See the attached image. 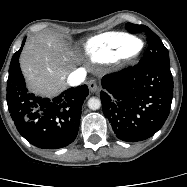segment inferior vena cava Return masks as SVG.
<instances>
[{
  "instance_id": "1",
  "label": "inferior vena cava",
  "mask_w": 187,
  "mask_h": 187,
  "mask_svg": "<svg viewBox=\"0 0 187 187\" xmlns=\"http://www.w3.org/2000/svg\"><path fill=\"white\" fill-rule=\"evenodd\" d=\"M86 77V71L82 68H78L69 74L67 78V83L70 86H78L84 82Z\"/></svg>"
}]
</instances>
